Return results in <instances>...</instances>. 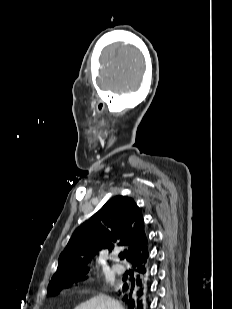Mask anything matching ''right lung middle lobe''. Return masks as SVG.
I'll return each mask as SVG.
<instances>
[{
    "instance_id": "1",
    "label": "right lung middle lobe",
    "mask_w": 232,
    "mask_h": 309,
    "mask_svg": "<svg viewBox=\"0 0 232 309\" xmlns=\"http://www.w3.org/2000/svg\"><path fill=\"white\" fill-rule=\"evenodd\" d=\"M74 282H77V281H63V282L53 283L50 286V290H48V294L50 296L57 295L64 288V284L74 283Z\"/></svg>"
}]
</instances>
